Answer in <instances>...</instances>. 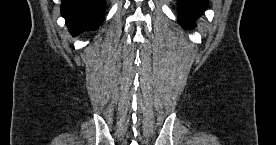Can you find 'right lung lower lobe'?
Returning <instances> with one entry per match:
<instances>
[{
	"label": "right lung lower lobe",
	"instance_id": "right-lung-lower-lobe-1",
	"mask_svg": "<svg viewBox=\"0 0 276 145\" xmlns=\"http://www.w3.org/2000/svg\"><path fill=\"white\" fill-rule=\"evenodd\" d=\"M105 0H62L61 12L74 36L96 30L102 23Z\"/></svg>",
	"mask_w": 276,
	"mask_h": 145
}]
</instances>
